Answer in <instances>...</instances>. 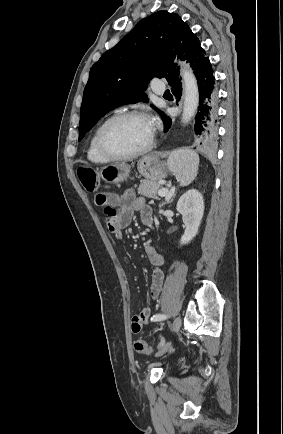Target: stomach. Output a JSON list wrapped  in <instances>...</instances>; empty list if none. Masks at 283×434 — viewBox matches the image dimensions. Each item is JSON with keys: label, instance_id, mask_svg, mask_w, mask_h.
Instances as JSON below:
<instances>
[{"label": "stomach", "instance_id": "0dacf381", "mask_svg": "<svg viewBox=\"0 0 283 434\" xmlns=\"http://www.w3.org/2000/svg\"><path fill=\"white\" fill-rule=\"evenodd\" d=\"M137 168L147 180L157 182L168 175V165L161 160L158 154H150L142 157ZM130 173V166L126 163H115L104 166L100 171L103 181L110 184H118L125 181Z\"/></svg>", "mask_w": 283, "mask_h": 434}]
</instances>
